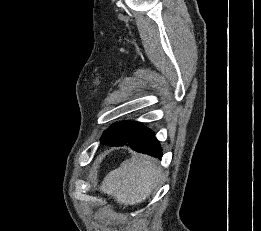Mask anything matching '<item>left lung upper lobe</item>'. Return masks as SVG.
Returning <instances> with one entry per match:
<instances>
[{
    "label": "left lung upper lobe",
    "mask_w": 261,
    "mask_h": 231,
    "mask_svg": "<svg viewBox=\"0 0 261 231\" xmlns=\"http://www.w3.org/2000/svg\"><path fill=\"white\" fill-rule=\"evenodd\" d=\"M150 129L144 127L139 122H119L107 129L101 139V143L108 145L111 142L119 141L124 138L143 139L149 135Z\"/></svg>",
    "instance_id": "1"
}]
</instances>
